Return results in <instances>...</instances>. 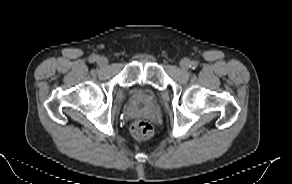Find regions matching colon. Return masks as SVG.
<instances>
[{
    "label": "colon",
    "instance_id": "obj_1",
    "mask_svg": "<svg viewBox=\"0 0 292 184\" xmlns=\"http://www.w3.org/2000/svg\"><path fill=\"white\" fill-rule=\"evenodd\" d=\"M131 133L138 140H146L153 136V126L144 120H137L131 125Z\"/></svg>",
    "mask_w": 292,
    "mask_h": 184
}]
</instances>
